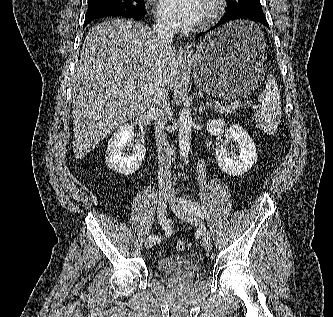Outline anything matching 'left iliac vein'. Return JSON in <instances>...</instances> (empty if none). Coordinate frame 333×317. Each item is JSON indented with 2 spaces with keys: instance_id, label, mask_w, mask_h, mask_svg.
Masks as SVG:
<instances>
[{
  "instance_id": "4c4485c4",
  "label": "left iliac vein",
  "mask_w": 333,
  "mask_h": 317,
  "mask_svg": "<svg viewBox=\"0 0 333 317\" xmlns=\"http://www.w3.org/2000/svg\"><path fill=\"white\" fill-rule=\"evenodd\" d=\"M169 205L173 210V212L176 214V216H178L181 220L188 222L192 225H195L200 229L203 238L204 247L206 251H210L212 249L211 235L209 231L199 221L196 214L190 210L187 203H185V201L183 200L177 199L174 195H170Z\"/></svg>"
}]
</instances>
